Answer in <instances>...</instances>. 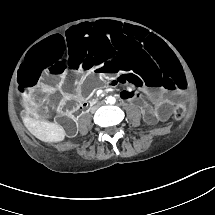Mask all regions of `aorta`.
<instances>
[{
  "instance_id": "762f6f07",
  "label": "aorta",
  "mask_w": 215,
  "mask_h": 215,
  "mask_svg": "<svg viewBox=\"0 0 215 215\" xmlns=\"http://www.w3.org/2000/svg\"><path fill=\"white\" fill-rule=\"evenodd\" d=\"M109 103L113 104L115 102V98L114 97H108V100H107Z\"/></svg>"
}]
</instances>
